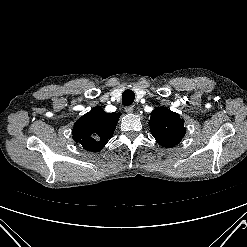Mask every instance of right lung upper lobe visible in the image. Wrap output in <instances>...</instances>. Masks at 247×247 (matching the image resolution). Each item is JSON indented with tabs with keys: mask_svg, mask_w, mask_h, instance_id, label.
<instances>
[{
	"mask_svg": "<svg viewBox=\"0 0 247 247\" xmlns=\"http://www.w3.org/2000/svg\"><path fill=\"white\" fill-rule=\"evenodd\" d=\"M120 115L94 107L74 124L73 139L87 151H100L112 137Z\"/></svg>",
	"mask_w": 247,
	"mask_h": 247,
	"instance_id": "cb5924a9",
	"label": "right lung upper lobe"
}]
</instances>
